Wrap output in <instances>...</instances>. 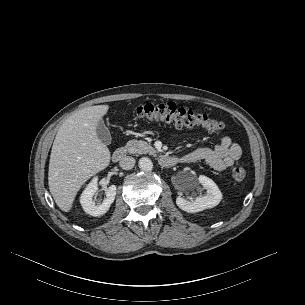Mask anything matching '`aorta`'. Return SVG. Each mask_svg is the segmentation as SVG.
I'll use <instances>...</instances> for the list:
<instances>
[{
  "instance_id": "aorta-1",
  "label": "aorta",
  "mask_w": 305,
  "mask_h": 305,
  "mask_svg": "<svg viewBox=\"0 0 305 305\" xmlns=\"http://www.w3.org/2000/svg\"><path fill=\"white\" fill-rule=\"evenodd\" d=\"M139 168L143 171H151L153 168V163L149 158L142 157L139 160Z\"/></svg>"
}]
</instances>
